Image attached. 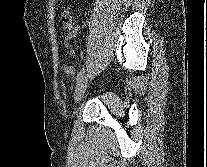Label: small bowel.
Here are the masks:
<instances>
[{
	"mask_svg": "<svg viewBox=\"0 0 207 167\" xmlns=\"http://www.w3.org/2000/svg\"><path fill=\"white\" fill-rule=\"evenodd\" d=\"M64 47L67 49L68 54L70 56H74L75 55V50L72 49L71 44H70L68 39H64ZM63 71L67 75H70V76H73V75L76 74V68L73 65H71V64H64L63 65Z\"/></svg>",
	"mask_w": 207,
	"mask_h": 167,
	"instance_id": "c3829d8e",
	"label": "small bowel"
}]
</instances>
